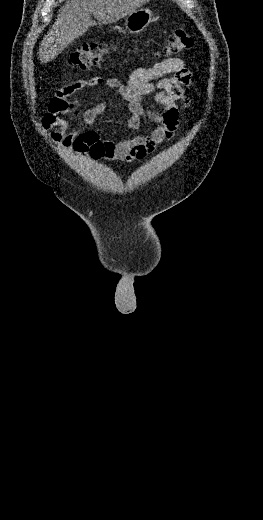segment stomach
Wrapping results in <instances>:
<instances>
[{"label": "stomach", "mask_w": 263, "mask_h": 520, "mask_svg": "<svg viewBox=\"0 0 263 520\" xmlns=\"http://www.w3.org/2000/svg\"><path fill=\"white\" fill-rule=\"evenodd\" d=\"M153 13L148 8H139L127 15L125 28L130 34L142 32L152 21Z\"/></svg>", "instance_id": "obj_1"}]
</instances>
